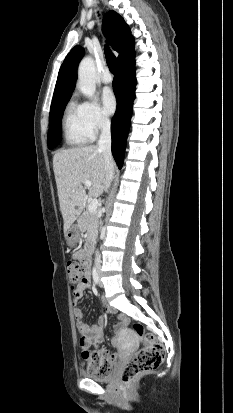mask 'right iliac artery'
Masks as SVG:
<instances>
[{"mask_svg":"<svg viewBox=\"0 0 233 413\" xmlns=\"http://www.w3.org/2000/svg\"><path fill=\"white\" fill-rule=\"evenodd\" d=\"M93 280L96 284L99 283V275L95 267L93 268Z\"/></svg>","mask_w":233,"mask_h":413,"instance_id":"right-iliac-artery-1","label":"right iliac artery"}]
</instances>
